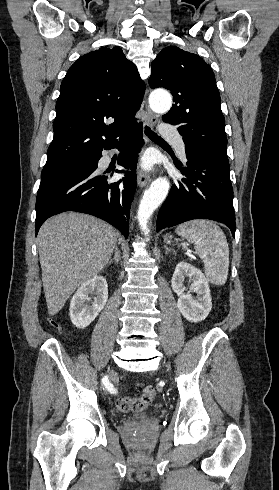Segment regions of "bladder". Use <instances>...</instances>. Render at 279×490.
I'll return each mask as SVG.
<instances>
[{"instance_id": "obj_1", "label": "bladder", "mask_w": 279, "mask_h": 490, "mask_svg": "<svg viewBox=\"0 0 279 490\" xmlns=\"http://www.w3.org/2000/svg\"><path fill=\"white\" fill-rule=\"evenodd\" d=\"M154 415H155L154 411L149 410V411H143V412H136V413L131 414L130 416L132 419H144L146 417L154 416Z\"/></svg>"}]
</instances>
